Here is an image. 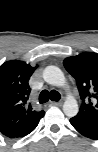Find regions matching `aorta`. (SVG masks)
<instances>
[{"mask_svg":"<svg viewBox=\"0 0 98 152\" xmlns=\"http://www.w3.org/2000/svg\"><path fill=\"white\" fill-rule=\"evenodd\" d=\"M44 80L53 86L63 87L66 84L62 70L56 66H47L43 71ZM79 111L78 103L72 96H68L63 105V112L68 117H74Z\"/></svg>","mask_w":98,"mask_h":152,"instance_id":"1","label":"aorta"}]
</instances>
